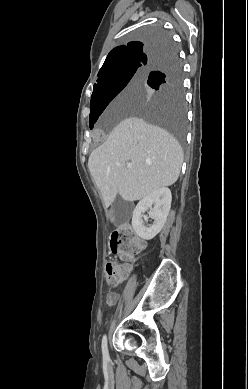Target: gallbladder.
Returning <instances> with one entry per match:
<instances>
[{"label": "gallbladder", "instance_id": "gallbladder-1", "mask_svg": "<svg viewBox=\"0 0 248 389\" xmlns=\"http://www.w3.org/2000/svg\"><path fill=\"white\" fill-rule=\"evenodd\" d=\"M114 209L116 212L117 222L121 223L127 220L131 203L124 201L120 196L114 200Z\"/></svg>", "mask_w": 248, "mask_h": 389}]
</instances>
